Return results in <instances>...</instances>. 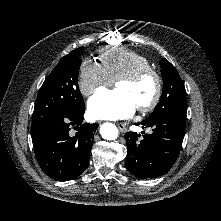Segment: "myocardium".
Here are the masks:
<instances>
[{
  "instance_id": "myocardium-1",
  "label": "myocardium",
  "mask_w": 221,
  "mask_h": 221,
  "mask_svg": "<svg viewBox=\"0 0 221 221\" xmlns=\"http://www.w3.org/2000/svg\"><path fill=\"white\" fill-rule=\"evenodd\" d=\"M146 77L154 78L156 83V91L153 98L147 104L137 108L140 113H148L152 111L160 102L163 94V79L160 73L152 67L141 68L118 78L116 81V84L119 82L136 83Z\"/></svg>"
}]
</instances>
